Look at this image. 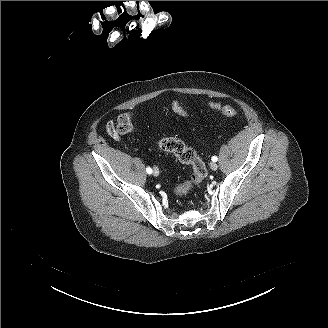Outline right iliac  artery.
I'll use <instances>...</instances> for the list:
<instances>
[{
    "instance_id": "1",
    "label": "right iliac artery",
    "mask_w": 328,
    "mask_h": 328,
    "mask_svg": "<svg viewBox=\"0 0 328 328\" xmlns=\"http://www.w3.org/2000/svg\"><path fill=\"white\" fill-rule=\"evenodd\" d=\"M146 172H147L148 174H151V173H152V169H151L150 167H147V168H146Z\"/></svg>"
}]
</instances>
